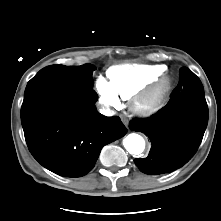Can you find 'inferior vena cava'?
Segmentation results:
<instances>
[{"label":"inferior vena cava","mask_w":221,"mask_h":221,"mask_svg":"<svg viewBox=\"0 0 221 221\" xmlns=\"http://www.w3.org/2000/svg\"><path fill=\"white\" fill-rule=\"evenodd\" d=\"M99 112L105 116L113 115V112L108 107H104V106L99 109Z\"/></svg>","instance_id":"inferior-vena-cava-1"}]
</instances>
